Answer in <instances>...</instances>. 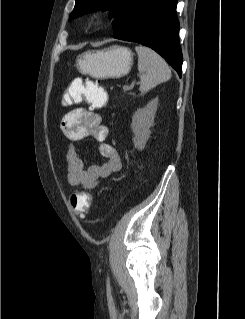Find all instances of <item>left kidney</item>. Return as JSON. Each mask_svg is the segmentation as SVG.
Wrapping results in <instances>:
<instances>
[{
    "mask_svg": "<svg viewBox=\"0 0 245 319\" xmlns=\"http://www.w3.org/2000/svg\"><path fill=\"white\" fill-rule=\"evenodd\" d=\"M158 107V97L152 99L144 108H139L132 117L131 128L134 134L135 148L143 150L150 137V128Z\"/></svg>",
    "mask_w": 245,
    "mask_h": 319,
    "instance_id": "5707ae66",
    "label": "left kidney"
}]
</instances>
